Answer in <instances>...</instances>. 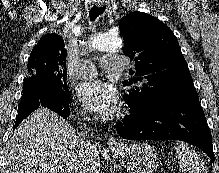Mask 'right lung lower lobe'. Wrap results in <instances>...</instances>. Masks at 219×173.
Segmentation results:
<instances>
[{"label": "right lung lower lobe", "instance_id": "98d812e1", "mask_svg": "<svg viewBox=\"0 0 219 173\" xmlns=\"http://www.w3.org/2000/svg\"><path fill=\"white\" fill-rule=\"evenodd\" d=\"M40 106L49 108L66 119L70 114L71 102L70 99L62 98L58 91L45 86L25 92L18 105L14 129Z\"/></svg>", "mask_w": 219, "mask_h": 173}]
</instances>
